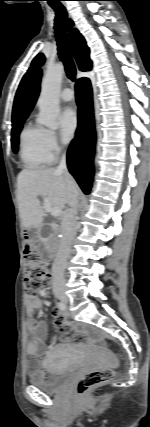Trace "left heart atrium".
Returning a JSON list of instances; mask_svg holds the SVG:
<instances>
[{"instance_id":"39dd6f15","label":"left heart atrium","mask_w":150,"mask_h":427,"mask_svg":"<svg viewBox=\"0 0 150 427\" xmlns=\"http://www.w3.org/2000/svg\"><path fill=\"white\" fill-rule=\"evenodd\" d=\"M59 123L62 138L65 141H69L73 137L78 126L76 112L72 108L64 109L59 117Z\"/></svg>"}]
</instances>
